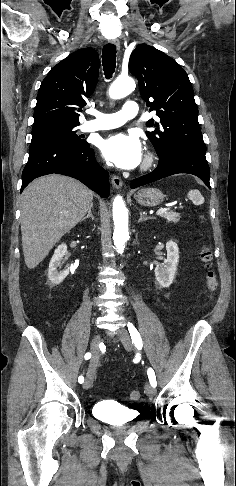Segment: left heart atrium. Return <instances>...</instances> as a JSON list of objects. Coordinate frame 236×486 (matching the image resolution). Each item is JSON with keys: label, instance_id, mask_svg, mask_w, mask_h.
Masks as SVG:
<instances>
[{"label": "left heart atrium", "instance_id": "1", "mask_svg": "<svg viewBox=\"0 0 236 486\" xmlns=\"http://www.w3.org/2000/svg\"><path fill=\"white\" fill-rule=\"evenodd\" d=\"M100 150L107 160L122 169L137 167L143 155L142 144L135 134L110 135L101 141Z\"/></svg>", "mask_w": 236, "mask_h": 486}]
</instances>
